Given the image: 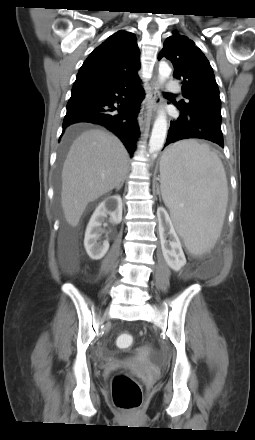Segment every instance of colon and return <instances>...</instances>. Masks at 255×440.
<instances>
[{"instance_id":"obj_1","label":"colon","mask_w":255,"mask_h":440,"mask_svg":"<svg viewBox=\"0 0 255 440\" xmlns=\"http://www.w3.org/2000/svg\"><path fill=\"white\" fill-rule=\"evenodd\" d=\"M134 339L129 333H121L116 338V344L120 348H130ZM113 402L119 409L127 411L138 410L142 404L141 387L132 377L120 373L112 381Z\"/></svg>"}]
</instances>
